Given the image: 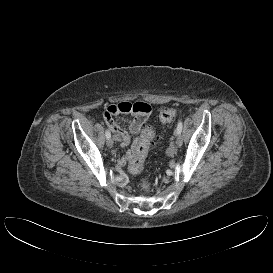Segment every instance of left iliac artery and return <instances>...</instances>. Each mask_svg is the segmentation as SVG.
<instances>
[{"instance_id":"obj_1","label":"left iliac artery","mask_w":273,"mask_h":273,"mask_svg":"<svg viewBox=\"0 0 273 273\" xmlns=\"http://www.w3.org/2000/svg\"><path fill=\"white\" fill-rule=\"evenodd\" d=\"M182 127H183V125H182V121L180 120L179 122H178V125H177V134H181V132H182Z\"/></svg>"}]
</instances>
